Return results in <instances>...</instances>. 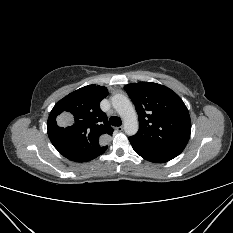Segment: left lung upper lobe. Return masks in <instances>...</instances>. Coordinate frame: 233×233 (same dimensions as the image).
<instances>
[{
	"label": "left lung upper lobe",
	"instance_id": "left-lung-upper-lobe-1",
	"mask_svg": "<svg viewBox=\"0 0 233 233\" xmlns=\"http://www.w3.org/2000/svg\"><path fill=\"white\" fill-rule=\"evenodd\" d=\"M135 105L138 132L129 141L156 153L178 156L190 138L191 120L181 98L166 86L140 82L124 87Z\"/></svg>",
	"mask_w": 233,
	"mask_h": 233
}]
</instances>
